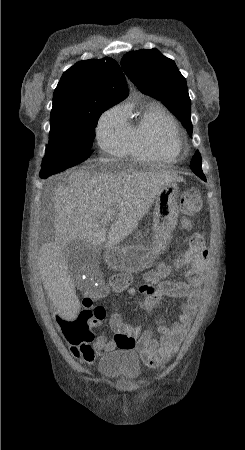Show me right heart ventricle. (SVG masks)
<instances>
[{
  "label": "right heart ventricle",
  "mask_w": 245,
  "mask_h": 450,
  "mask_svg": "<svg viewBox=\"0 0 245 450\" xmlns=\"http://www.w3.org/2000/svg\"><path fill=\"white\" fill-rule=\"evenodd\" d=\"M127 120L128 154L141 160L173 161L179 153L174 152L164 142L161 126L166 118H171L166 110L156 102L149 103L139 111L136 120L130 121L132 110L124 109Z\"/></svg>",
  "instance_id": "e07e8e85"
}]
</instances>
